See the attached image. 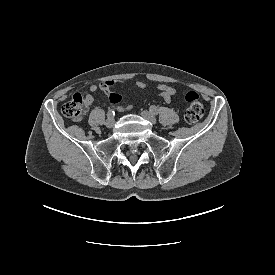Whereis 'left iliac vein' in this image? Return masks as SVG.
Returning <instances> with one entry per match:
<instances>
[{
	"label": "left iliac vein",
	"mask_w": 275,
	"mask_h": 275,
	"mask_svg": "<svg viewBox=\"0 0 275 275\" xmlns=\"http://www.w3.org/2000/svg\"><path fill=\"white\" fill-rule=\"evenodd\" d=\"M141 115L148 120L151 124L155 125L156 124V118L154 117V115L149 112V111H142Z\"/></svg>",
	"instance_id": "left-iliac-vein-1"
}]
</instances>
